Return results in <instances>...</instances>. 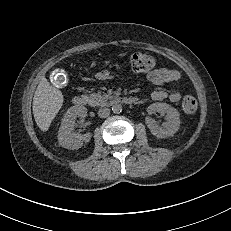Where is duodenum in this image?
I'll use <instances>...</instances> for the list:
<instances>
[{"label": "duodenum", "instance_id": "410a0bca", "mask_svg": "<svg viewBox=\"0 0 231 231\" xmlns=\"http://www.w3.org/2000/svg\"><path fill=\"white\" fill-rule=\"evenodd\" d=\"M115 101L126 105H132V104H136L138 102V99L132 96H125V97H117ZM87 103H88V99L85 96L78 95L73 98V104L78 108L86 106Z\"/></svg>", "mask_w": 231, "mask_h": 231}]
</instances>
